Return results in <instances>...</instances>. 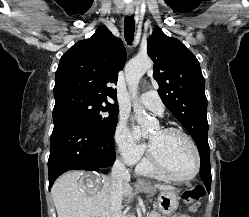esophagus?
<instances>
[{"label": "esophagus", "instance_id": "1", "mask_svg": "<svg viewBox=\"0 0 249 217\" xmlns=\"http://www.w3.org/2000/svg\"><path fill=\"white\" fill-rule=\"evenodd\" d=\"M133 13H134L133 7H127V8L125 9V14H126L127 16H132ZM136 184L139 185V186H141V185H144L145 182H144L143 180H141V179H138V180L136 181Z\"/></svg>", "mask_w": 249, "mask_h": 217}]
</instances>
